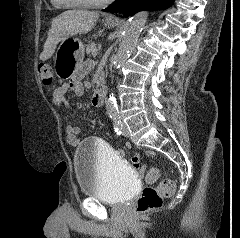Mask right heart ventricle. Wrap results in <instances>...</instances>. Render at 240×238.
I'll return each instance as SVG.
<instances>
[{
	"instance_id": "e07e8e85",
	"label": "right heart ventricle",
	"mask_w": 240,
	"mask_h": 238,
	"mask_svg": "<svg viewBox=\"0 0 240 238\" xmlns=\"http://www.w3.org/2000/svg\"><path fill=\"white\" fill-rule=\"evenodd\" d=\"M51 3L55 6H63V7H68L63 3V0H50Z\"/></svg>"
}]
</instances>
